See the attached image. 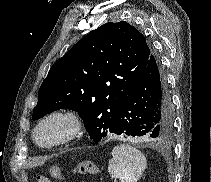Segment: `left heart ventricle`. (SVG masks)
Returning a JSON list of instances; mask_svg holds the SVG:
<instances>
[{
    "label": "left heart ventricle",
    "mask_w": 211,
    "mask_h": 182,
    "mask_svg": "<svg viewBox=\"0 0 211 182\" xmlns=\"http://www.w3.org/2000/svg\"><path fill=\"white\" fill-rule=\"evenodd\" d=\"M69 128L65 120L54 119L46 123L38 132V138L43 141H52L62 136Z\"/></svg>",
    "instance_id": "1"
}]
</instances>
